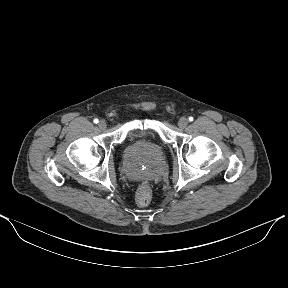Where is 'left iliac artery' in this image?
Segmentation results:
<instances>
[{
	"instance_id": "obj_1",
	"label": "left iliac artery",
	"mask_w": 288,
	"mask_h": 288,
	"mask_svg": "<svg viewBox=\"0 0 288 288\" xmlns=\"http://www.w3.org/2000/svg\"><path fill=\"white\" fill-rule=\"evenodd\" d=\"M189 121H193V117L192 116L189 117Z\"/></svg>"
}]
</instances>
